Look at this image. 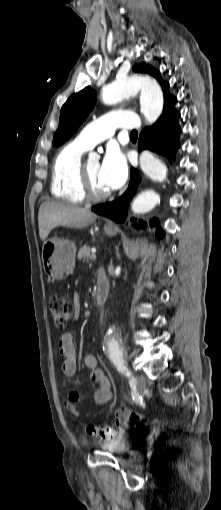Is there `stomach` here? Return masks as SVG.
Masks as SVG:
<instances>
[{
	"label": "stomach",
	"instance_id": "0dacf381",
	"mask_svg": "<svg viewBox=\"0 0 221 510\" xmlns=\"http://www.w3.org/2000/svg\"><path fill=\"white\" fill-rule=\"evenodd\" d=\"M108 236L117 233L116 227H104ZM76 245L66 239L52 237L46 240L42 247V262L44 270L51 281H60L68 277L75 266Z\"/></svg>",
	"mask_w": 221,
	"mask_h": 510
}]
</instances>
